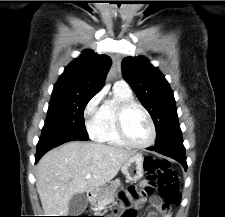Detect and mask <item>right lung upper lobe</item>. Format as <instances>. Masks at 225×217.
I'll list each match as a JSON object with an SVG mask.
<instances>
[{
    "mask_svg": "<svg viewBox=\"0 0 225 217\" xmlns=\"http://www.w3.org/2000/svg\"><path fill=\"white\" fill-rule=\"evenodd\" d=\"M110 66L107 55L85 50L65 68L52 94L94 96L102 89Z\"/></svg>",
    "mask_w": 225,
    "mask_h": 217,
    "instance_id": "1",
    "label": "right lung upper lobe"
}]
</instances>
